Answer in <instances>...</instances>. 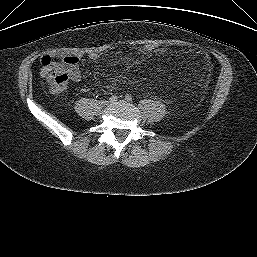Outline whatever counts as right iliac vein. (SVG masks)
I'll use <instances>...</instances> for the list:
<instances>
[{
	"label": "right iliac vein",
	"mask_w": 257,
	"mask_h": 257,
	"mask_svg": "<svg viewBox=\"0 0 257 257\" xmlns=\"http://www.w3.org/2000/svg\"><path fill=\"white\" fill-rule=\"evenodd\" d=\"M110 102L109 101H103L102 104L103 105H108Z\"/></svg>",
	"instance_id": "1"
}]
</instances>
